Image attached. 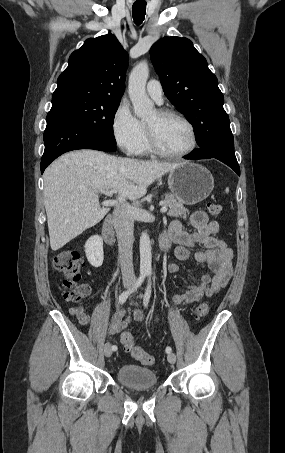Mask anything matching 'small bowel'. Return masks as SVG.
I'll list each match as a JSON object with an SVG mask.
<instances>
[{"label": "small bowel", "instance_id": "c3829d8e", "mask_svg": "<svg viewBox=\"0 0 285 453\" xmlns=\"http://www.w3.org/2000/svg\"><path fill=\"white\" fill-rule=\"evenodd\" d=\"M189 223L193 232L186 231L180 220L173 219L161 236L169 243L176 244L174 253L179 261L188 260L191 257L190 249L200 247L201 250L195 252L193 258L198 263H206L212 273L193 277V282L185 286V291L173 297L174 303L185 306L196 303L203 297L217 294L228 284L233 273V252L218 237L219 224L209 220L203 211L194 212ZM179 269L177 262H172L168 266L171 273H176ZM87 289L89 291L88 287ZM72 312L81 324L87 325L90 322V316L84 312L83 308H74ZM145 320L146 316L137 308H118L110 320L107 334L112 337L122 333L132 321L144 322Z\"/></svg>", "mask_w": 285, "mask_h": 453}]
</instances>
